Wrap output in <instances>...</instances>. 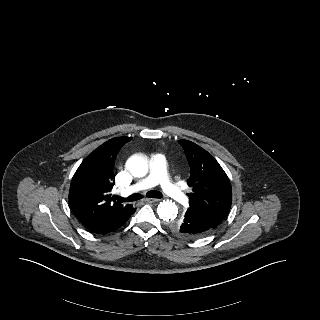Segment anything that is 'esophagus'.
I'll return each mask as SVG.
<instances>
[{
	"mask_svg": "<svg viewBox=\"0 0 320 320\" xmlns=\"http://www.w3.org/2000/svg\"><path fill=\"white\" fill-rule=\"evenodd\" d=\"M159 201V199H156V198H146L145 199V202L147 203H154V202H157Z\"/></svg>",
	"mask_w": 320,
	"mask_h": 320,
	"instance_id": "esophagus-1",
	"label": "esophagus"
}]
</instances>
